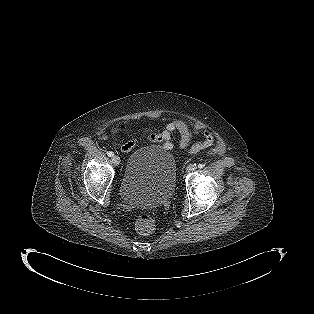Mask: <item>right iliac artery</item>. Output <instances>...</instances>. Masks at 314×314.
<instances>
[{"label": "right iliac artery", "instance_id": "obj_1", "mask_svg": "<svg viewBox=\"0 0 314 314\" xmlns=\"http://www.w3.org/2000/svg\"><path fill=\"white\" fill-rule=\"evenodd\" d=\"M107 155H108L109 157H112L114 154H113V152L108 151V152H107Z\"/></svg>", "mask_w": 314, "mask_h": 314}]
</instances>
